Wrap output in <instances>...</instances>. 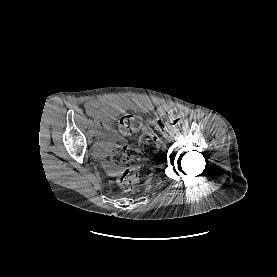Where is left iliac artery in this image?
Here are the masks:
<instances>
[{"instance_id":"left-iliac-artery-1","label":"left iliac artery","mask_w":277,"mask_h":277,"mask_svg":"<svg viewBox=\"0 0 277 277\" xmlns=\"http://www.w3.org/2000/svg\"><path fill=\"white\" fill-rule=\"evenodd\" d=\"M179 131V128L178 127H175L171 132H173L174 134L178 133Z\"/></svg>"}]
</instances>
